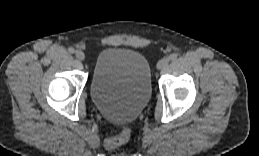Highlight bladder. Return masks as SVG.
<instances>
[{
    "instance_id": "bladder-1",
    "label": "bladder",
    "mask_w": 259,
    "mask_h": 156,
    "mask_svg": "<svg viewBox=\"0 0 259 156\" xmlns=\"http://www.w3.org/2000/svg\"><path fill=\"white\" fill-rule=\"evenodd\" d=\"M151 69L139 52L109 47L97 57L90 95L108 120L125 123L136 119L150 100Z\"/></svg>"
}]
</instances>
